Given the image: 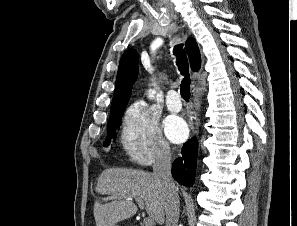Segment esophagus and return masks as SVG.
<instances>
[{
	"label": "esophagus",
	"mask_w": 297,
	"mask_h": 226,
	"mask_svg": "<svg viewBox=\"0 0 297 226\" xmlns=\"http://www.w3.org/2000/svg\"><path fill=\"white\" fill-rule=\"evenodd\" d=\"M192 95H193V100H194V104H195V112H194L195 129L197 130V128H198V115H199V110H200V98H199V95H198L195 88L192 90Z\"/></svg>",
	"instance_id": "obj_1"
}]
</instances>
